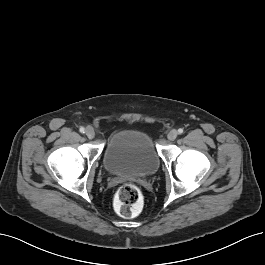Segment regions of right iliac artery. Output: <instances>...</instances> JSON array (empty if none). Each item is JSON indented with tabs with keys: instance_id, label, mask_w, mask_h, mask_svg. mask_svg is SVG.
I'll list each match as a JSON object with an SVG mask.
<instances>
[{
	"instance_id": "right-iliac-artery-1",
	"label": "right iliac artery",
	"mask_w": 265,
	"mask_h": 265,
	"mask_svg": "<svg viewBox=\"0 0 265 265\" xmlns=\"http://www.w3.org/2000/svg\"><path fill=\"white\" fill-rule=\"evenodd\" d=\"M79 131H80L81 133H85V128L81 127V128L79 129Z\"/></svg>"
}]
</instances>
